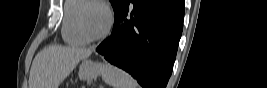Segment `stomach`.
<instances>
[{"instance_id": "0dacf381", "label": "stomach", "mask_w": 267, "mask_h": 88, "mask_svg": "<svg viewBox=\"0 0 267 88\" xmlns=\"http://www.w3.org/2000/svg\"><path fill=\"white\" fill-rule=\"evenodd\" d=\"M102 72V64L92 60L84 59L79 68V78L82 80H92L97 78Z\"/></svg>"}]
</instances>
